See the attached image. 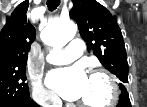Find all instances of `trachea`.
<instances>
[{"instance_id": "trachea-1", "label": "trachea", "mask_w": 147, "mask_h": 107, "mask_svg": "<svg viewBox=\"0 0 147 107\" xmlns=\"http://www.w3.org/2000/svg\"><path fill=\"white\" fill-rule=\"evenodd\" d=\"M60 5V0H47V7L50 11H54Z\"/></svg>"}]
</instances>
